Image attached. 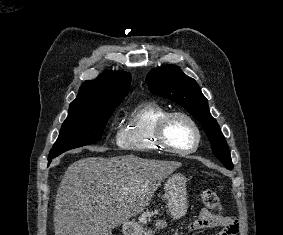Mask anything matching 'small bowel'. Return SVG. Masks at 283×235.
I'll return each instance as SVG.
<instances>
[{
    "label": "small bowel",
    "mask_w": 283,
    "mask_h": 235,
    "mask_svg": "<svg viewBox=\"0 0 283 235\" xmlns=\"http://www.w3.org/2000/svg\"><path fill=\"white\" fill-rule=\"evenodd\" d=\"M206 228H219L218 235H237L239 221L233 217L214 215L204 209L200 212L198 219L188 226V231H199Z\"/></svg>",
    "instance_id": "c3829d8e"
}]
</instances>
